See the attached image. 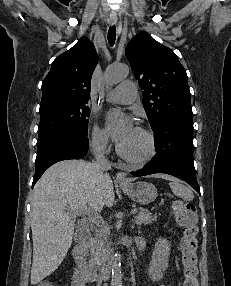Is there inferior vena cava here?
Here are the masks:
<instances>
[{
	"instance_id": "obj_1",
	"label": "inferior vena cava",
	"mask_w": 231,
	"mask_h": 286,
	"mask_svg": "<svg viewBox=\"0 0 231 286\" xmlns=\"http://www.w3.org/2000/svg\"><path fill=\"white\" fill-rule=\"evenodd\" d=\"M93 154L95 156V165L99 167L101 171L111 169L109 160L104 155V146L101 142L93 143L92 145ZM104 286H108L106 283Z\"/></svg>"
}]
</instances>
